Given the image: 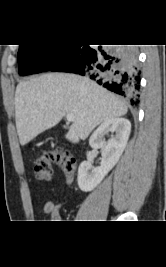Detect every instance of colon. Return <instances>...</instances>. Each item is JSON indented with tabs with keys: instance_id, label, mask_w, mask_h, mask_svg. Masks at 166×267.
I'll list each match as a JSON object with an SVG mask.
<instances>
[{
	"instance_id": "colon-1",
	"label": "colon",
	"mask_w": 166,
	"mask_h": 267,
	"mask_svg": "<svg viewBox=\"0 0 166 267\" xmlns=\"http://www.w3.org/2000/svg\"><path fill=\"white\" fill-rule=\"evenodd\" d=\"M57 164L61 166L68 177H72L75 170V160L64 150L44 151L34 163V172L37 179L47 181L52 175V166Z\"/></svg>"
}]
</instances>
